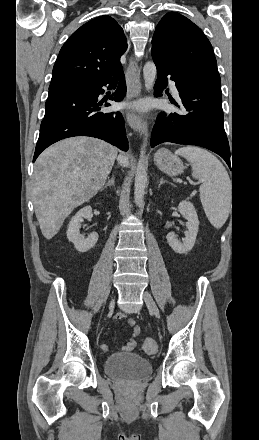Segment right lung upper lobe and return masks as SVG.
Listing matches in <instances>:
<instances>
[{
    "label": "right lung upper lobe",
    "mask_w": 259,
    "mask_h": 440,
    "mask_svg": "<svg viewBox=\"0 0 259 440\" xmlns=\"http://www.w3.org/2000/svg\"><path fill=\"white\" fill-rule=\"evenodd\" d=\"M121 26L100 16L77 29L62 46L54 64L49 90L103 81L122 69L127 49Z\"/></svg>",
    "instance_id": "right-lung-upper-lobe-1"
}]
</instances>
